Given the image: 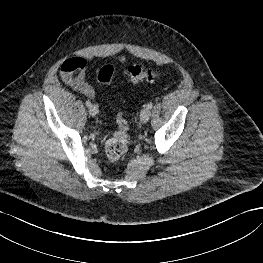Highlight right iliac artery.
<instances>
[{
	"mask_svg": "<svg viewBox=\"0 0 263 263\" xmlns=\"http://www.w3.org/2000/svg\"><path fill=\"white\" fill-rule=\"evenodd\" d=\"M86 106L87 107H91V102L88 100V101H86Z\"/></svg>",
	"mask_w": 263,
	"mask_h": 263,
	"instance_id": "1",
	"label": "right iliac artery"
}]
</instances>
